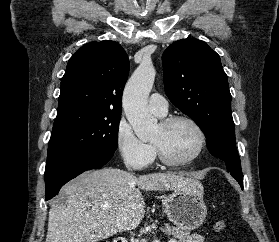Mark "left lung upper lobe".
Instances as JSON below:
<instances>
[{
    "label": "left lung upper lobe",
    "mask_w": 279,
    "mask_h": 242,
    "mask_svg": "<svg viewBox=\"0 0 279 242\" xmlns=\"http://www.w3.org/2000/svg\"><path fill=\"white\" fill-rule=\"evenodd\" d=\"M162 63L170 101L199 125L210 153L226 162L235 179L243 180L231 94L219 55L204 41L187 38L172 43L164 51Z\"/></svg>",
    "instance_id": "5c2ea615"
}]
</instances>
